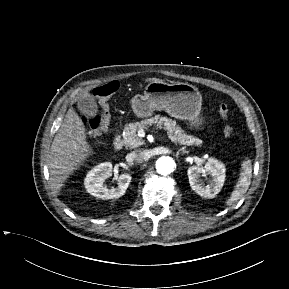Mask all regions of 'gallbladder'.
Masks as SVG:
<instances>
[{
    "instance_id": "bac80fb5",
    "label": "gallbladder",
    "mask_w": 289,
    "mask_h": 289,
    "mask_svg": "<svg viewBox=\"0 0 289 289\" xmlns=\"http://www.w3.org/2000/svg\"><path fill=\"white\" fill-rule=\"evenodd\" d=\"M78 110L85 115L87 118H93L96 116L98 107L95 99L88 95L87 97H82L78 101Z\"/></svg>"
}]
</instances>
